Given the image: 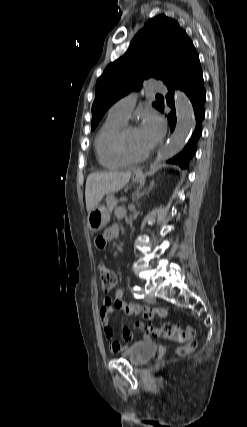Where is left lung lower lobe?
I'll return each mask as SVG.
<instances>
[{"instance_id":"obj_1","label":"left lung lower lobe","mask_w":247,"mask_h":427,"mask_svg":"<svg viewBox=\"0 0 247 427\" xmlns=\"http://www.w3.org/2000/svg\"><path fill=\"white\" fill-rule=\"evenodd\" d=\"M166 86L168 88L166 101L167 105L171 107V112L167 116L171 131L174 130L176 124V112L173 99L175 89L179 88L184 91L193 105L196 119L195 129L184 149L170 160V163H175L182 168H187L190 159L196 152L197 141L202 133V121L205 116L204 103L206 100V93L199 56H197L176 79L166 84ZM158 110L163 112L164 106L161 105Z\"/></svg>"}]
</instances>
